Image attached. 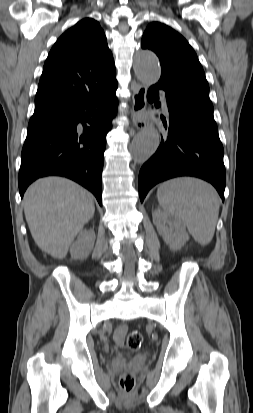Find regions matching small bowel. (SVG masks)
I'll return each mask as SVG.
<instances>
[{
  "label": "small bowel",
  "mask_w": 253,
  "mask_h": 413,
  "mask_svg": "<svg viewBox=\"0 0 253 413\" xmlns=\"http://www.w3.org/2000/svg\"><path fill=\"white\" fill-rule=\"evenodd\" d=\"M127 333V327L125 325H121L117 327L114 331V340L118 345H122L124 343V339Z\"/></svg>",
  "instance_id": "1"
}]
</instances>
